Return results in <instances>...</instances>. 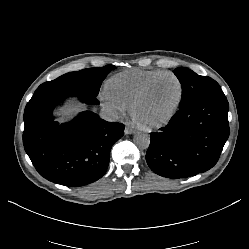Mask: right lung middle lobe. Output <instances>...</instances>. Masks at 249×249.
Returning <instances> with one entry per match:
<instances>
[{
    "instance_id": "right-lung-middle-lobe-1",
    "label": "right lung middle lobe",
    "mask_w": 249,
    "mask_h": 249,
    "mask_svg": "<svg viewBox=\"0 0 249 249\" xmlns=\"http://www.w3.org/2000/svg\"><path fill=\"white\" fill-rule=\"evenodd\" d=\"M116 69L114 65L100 68H86L66 73L53 81L41 84L35 93L56 89H78L90 98H96L106 75Z\"/></svg>"
}]
</instances>
